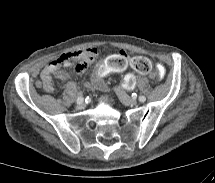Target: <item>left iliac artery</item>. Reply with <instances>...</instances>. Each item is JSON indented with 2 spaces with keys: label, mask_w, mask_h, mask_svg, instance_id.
I'll return each instance as SVG.
<instances>
[{
  "label": "left iliac artery",
  "mask_w": 215,
  "mask_h": 183,
  "mask_svg": "<svg viewBox=\"0 0 215 183\" xmlns=\"http://www.w3.org/2000/svg\"><path fill=\"white\" fill-rule=\"evenodd\" d=\"M146 100V97L145 96H139V101L140 102H144Z\"/></svg>",
  "instance_id": "44dca946"
}]
</instances>
